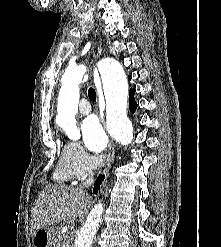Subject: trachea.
Here are the masks:
<instances>
[{"instance_id": "trachea-1", "label": "trachea", "mask_w": 221, "mask_h": 247, "mask_svg": "<svg viewBox=\"0 0 221 247\" xmlns=\"http://www.w3.org/2000/svg\"><path fill=\"white\" fill-rule=\"evenodd\" d=\"M88 96L89 98L92 100V101H96V92H95V89L93 88H89L88 90Z\"/></svg>"}]
</instances>
